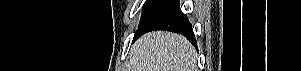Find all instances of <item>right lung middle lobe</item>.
<instances>
[{"label": "right lung middle lobe", "instance_id": "obj_1", "mask_svg": "<svg viewBox=\"0 0 301 71\" xmlns=\"http://www.w3.org/2000/svg\"><path fill=\"white\" fill-rule=\"evenodd\" d=\"M160 2V0H147L143 6V13L141 16L140 24L146 15ZM139 24V25H140Z\"/></svg>", "mask_w": 301, "mask_h": 71}]
</instances>
